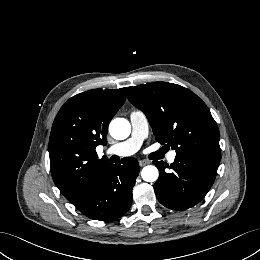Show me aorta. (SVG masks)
<instances>
[{"mask_svg":"<svg viewBox=\"0 0 260 260\" xmlns=\"http://www.w3.org/2000/svg\"><path fill=\"white\" fill-rule=\"evenodd\" d=\"M109 132L114 139H126L131 132V125L124 118H116L109 125ZM159 172L155 166H145L141 171V177L146 182H155L158 179Z\"/></svg>","mask_w":260,"mask_h":260,"instance_id":"1","label":"aorta"}]
</instances>
